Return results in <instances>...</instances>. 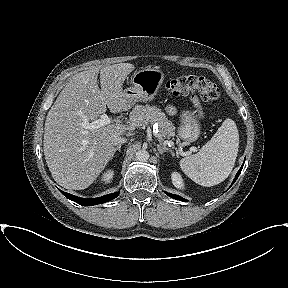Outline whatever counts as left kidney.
Returning a JSON list of instances; mask_svg holds the SVG:
<instances>
[{
  "mask_svg": "<svg viewBox=\"0 0 288 288\" xmlns=\"http://www.w3.org/2000/svg\"><path fill=\"white\" fill-rule=\"evenodd\" d=\"M171 178H172V182H173L175 187L183 188V186H184L183 179H182L181 175L178 172H173L171 174Z\"/></svg>",
  "mask_w": 288,
  "mask_h": 288,
  "instance_id": "1",
  "label": "left kidney"
}]
</instances>
